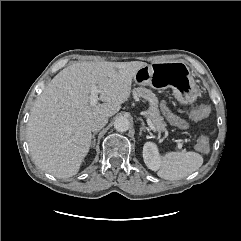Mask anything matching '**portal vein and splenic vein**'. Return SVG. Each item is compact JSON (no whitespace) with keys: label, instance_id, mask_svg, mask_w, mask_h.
I'll return each instance as SVG.
<instances>
[{"label":"portal vein and splenic vein","instance_id":"18ae733b","mask_svg":"<svg viewBox=\"0 0 241 241\" xmlns=\"http://www.w3.org/2000/svg\"><path fill=\"white\" fill-rule=\"evenodd\" d=\"M100 93V90L98 89L97 86H92L91 87V91H90V104L91 105H96L98 102V94ZM147 124L149 125V127L155 132L156 129L153 125V123L151 122V120L149 118H147ZM177 147L178 149L182 148V144L180 142H177Z\"/></svg>","mask_w":241,"mask_h":241}]
</instances>
